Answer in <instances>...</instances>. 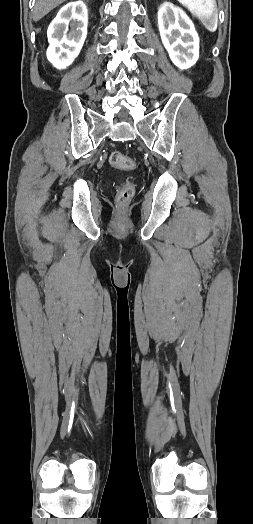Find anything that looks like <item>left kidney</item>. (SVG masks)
<instances>
[{
  "label": "left kidney",
  "mask_w": 253,
  "mask_h": 524,
  "mask_svg": "<svg viewBox=\"0 0 253 524\" xmlns=\"http://www.w3.org/2000/svg\"><path fill=\"white\" fill-rule=\"evenodd\" d=\"M158 26L171 61L180 69L193 66L199 58V37L189 17L172 3L164 2L158 10Z\"/></svg>",
  "instance_id": "obj_1"
}]
</instances>
